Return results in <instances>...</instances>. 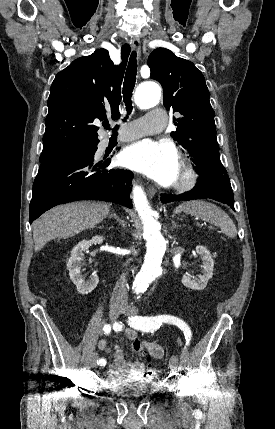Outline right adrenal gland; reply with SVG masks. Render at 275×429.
I'll return each mask as SVG.
<instances>
[{"instance_id": "2a0ac1e0", "label": "right adrenal gland", "mask_w": 275, "mask_h": 429, "mask_svg": "<svg viewBox=\"0 0 275 429\" xmlns=\"http://www.w3.org/2000/svg\"><path fill=\"white\" fill-rule=\"evenodd\" d=\"M109 219H111V218H115L118 222H119V224L123 227V228H125L126 227V222H125V220H122L114 211L109 215V217H108Z\"/></svg>"}]
</instances>
